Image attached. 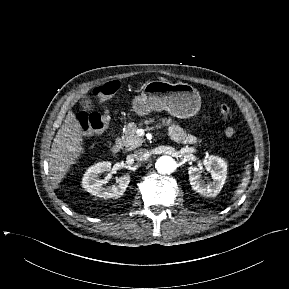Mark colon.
Returning a JSON list of instances; mask_svg holds the SVG:
<instances>
[{"label":"colon","mask_w":289,"mask_h":289,"mask_svg":"<svg viewBox=\"0 0 289 289\" xmlns=\"http://www.w3.org/2000/svg\"><path fill=\"white\" fill-rule=\"evenodd\" d=\"M120 88V83L117 80L108 81L94 89V94L101 100L110 99ZM220 114L227 119L231 116V109L227 104H222L219 108ZM110 116L107 111L103 113H87L80 112L77 115V121L85 133H99L107 128ZM225 135L232 138L236 135L233 127L229 126L225 129Z\"/></svg>","instance_id":"1"}]
</instances>
